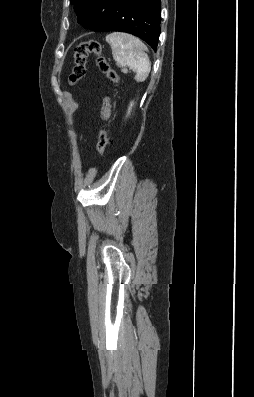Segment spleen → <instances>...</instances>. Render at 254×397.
I'll use <instances>...</instances> for the list:
<instances>
[{"instance_id":"3e777b00","label":"spleen","mask_w":254,"mask_h":397,"mask_svg":"<svg viewBox=\"0 0 254 397\" xmlns=\"http://www.w3.org/2000/svg\"><path fill=\"white\" fill-rule=\"evenodd\" d=\"M112 50L116 65L127 73V67L135 73L134 79L143 82L147 79L151 63L147 55L146 45L140 39L127 34L114 32L106 36Z\"/></svg>"}]
</instances>
